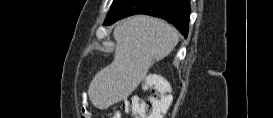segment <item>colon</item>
I'll return each instance as SVG.
<instances>
[{
  "instance_id": "obj_1",
  "label": "colon",
  "mask_w": 273,
  "mask_h": 118,
  "mask_svg": "<svg viewBox=\"0 0 273 118\" xmlns=\"http://www.w3.org/2000/svg\"><path fill=\"white\" fill-rule=\"evenodd\" d=\"M146 83L154 90V94L147 97L126 98L123 101L122 110L136 118H160L172 103V97L168 94L169 86L159 81L158 86L155 87L152 78H147ZM83 118H88V114L84 113Z\"/></svg>"
}]
</instances>
